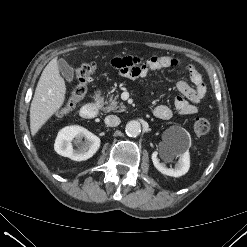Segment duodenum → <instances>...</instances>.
<instances>
[{
    "instance_id": "410a0bca",
    "label": "duodenum",
    "mask_w": 247,
    "mask_h": 247,
    "mask_svg": "<svg viewBox=\"0 0 247 247\" xmlns=\"http://www.w3.org/2000/svg\"><path fill=\"white\" fill-rule=\"evenodd\" d=\"M100 98H101V92L96 91L93 101L84 105L81 108L80 115L82 118L93 119L94 117H96L100 106Z\"/></svg>"
}]
</instances>
